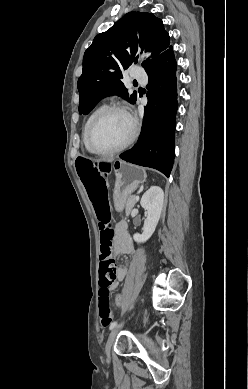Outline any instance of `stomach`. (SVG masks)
I'll list each match as a JSON object with an SVG mask.
<instances>
[{"instance_id":"obj_1","label":"stomach","mask_w":248,"mask_h":389,"mask_svg":"<svg viewBox=\"0 0 248 389\" xmlns=\"http://www.w3.org/2000/svg\"><path fill=\"white\" fill-rule=\"evenodd\" d=\"M112 167L116 180L113 200L115 208L122 210L129 195L146 180V172L142 167L121 160L114 161Z\"/></svg>"}]
</instances>
